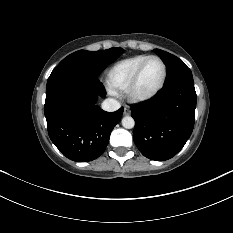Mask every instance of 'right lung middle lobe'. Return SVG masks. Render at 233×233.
<instances>
[{
	"instance_id": "1",
	"label": "right lung middle lobe",
	"mask_w": 233,
	"mask_h": 233,
	"mask_svg": "<svg viewBox=\"0 0 233 233\" xmlns=\"http://www.w3.org/2000/svg\"><path fill=\"white\" fill-rule=\"evenodd\" d=\"M123 52L122 48H110L100 51H76L64 58L54 68L49 78L58 75L97 76Z\"/></svg>"
}]
</instances>
